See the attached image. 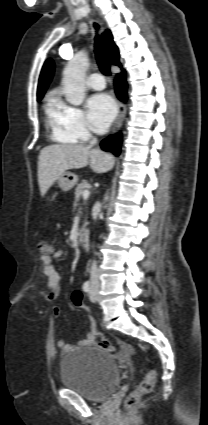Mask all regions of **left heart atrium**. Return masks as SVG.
I'll list each match as a JSON object with an SVG mask.
<instances>
[{
	"mask_svg": "<svg viewBox=\"0 0 208 425\" xmlns=\"http://www.w3.org/2000/svg\"><path fill=\"white\" fill-rule=\"evenodd\" d=\"M117 109L114 100L107 94H95L87 101L88 120L97 133L107 130L115 118Z\"/></svg>",
	"mask_w": 208,
	"mask_h": 425,
	"instance_id": "1",
	"label": "left heart atrium"
}]
</instances>
